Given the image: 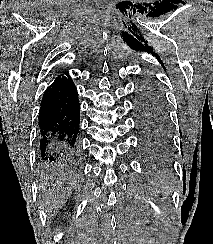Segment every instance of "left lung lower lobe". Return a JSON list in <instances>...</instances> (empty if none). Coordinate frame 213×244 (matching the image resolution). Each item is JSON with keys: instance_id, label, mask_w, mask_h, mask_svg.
I'll use <instances>...</instances> for the list:
<instances>
[{"instance_id": "obj_1", "label": "left lung lower lobe", "mask_w": 213, "mask_h": 244, "mask_svg": "<svg viewBox=\"0 0 213 244\" xmlns=\"http://www.w3.org/2000/svg\"><path fill=\"white\" fill-rule=\"evenodd\" d=\"M138 119V132L141 135V148L149 156H155L160 153L165 138L159 136L153 128L147 123Z\"/></svg>"}]
</instances>
